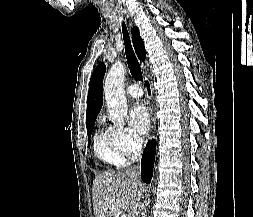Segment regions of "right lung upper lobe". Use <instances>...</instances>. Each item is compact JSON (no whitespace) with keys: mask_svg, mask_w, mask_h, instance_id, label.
<instances>
[{"mask_svg":"<svg viewBox=\"0 0 253 217\" xmlns=\"http://www.w3.org/2000/svg\"><path fill=\"white\" fill-rule=\"evenodd\" d=\"M132 41L133 46L136 51V54L139 60H144L146 56V51L144 48V42L140 37V33L137 27L132 28ZM106 71L104 63H100L94 70L90 83H89V92L87 99V113L86 121L90 122L96 120L98 113L102 108V82L103 77Z\"/></svg>","mask_w":253,"mask_h":217,"instance_id":"cb5924a9","label":"right lung upper lobe"}]
</instances>
